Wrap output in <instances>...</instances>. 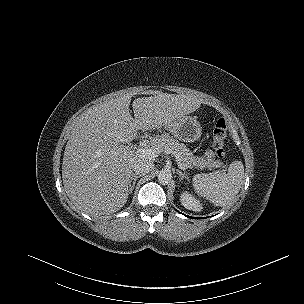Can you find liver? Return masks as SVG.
Listing matches in <instances>:
<instances>
[{
	"label": "liver",
	"mask_w": 304,
	"mask_h": 304,
	"mask_svg": "<svg viewBox=\"0 0 304 304\" xmlns=\"http://www.w3.org/2000/svg\"><path fill=\"white\" fill-rule=\"evenodd\" d=\"M130 102L131 96L124 95L88 108L66 144L64 189L75 207L88 215L111 214L127 202L133 164L144 157L125 143L139 130L160 129L201 106L195 96L162 93L135 99L133 118Z\"/></svg>",
	"instance_id": "liver-1"
}]
</instances>
